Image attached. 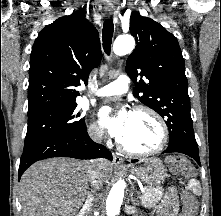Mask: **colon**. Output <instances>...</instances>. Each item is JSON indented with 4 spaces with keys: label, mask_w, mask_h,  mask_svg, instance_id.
<instances>
[{
    "label": "colon",
    "mask_w": 221,
    "mask_h": 216,
    "mask_svg": "<svg viewBox=\"0 0 221 216\" xmlns=\"http://www.w3.org/2000/svg\"><path fill=\"white\" fill-rule=\"evenodd\" d=\"M168 166L173 172H188L187 162L180 157H172L168 160ZM181 200L183 205L182 213L184 216L196 215V201L193 195L187 188H184L181 192Z\"/></svg>",
    "instance_id": "obj_1"
}]
</instances>
